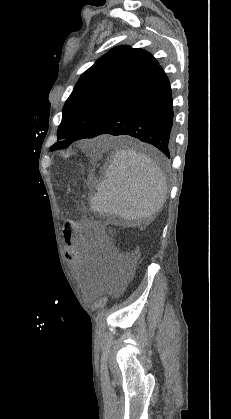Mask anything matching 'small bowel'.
<instances>
[{"mask_svg":"<svg viewBox=\"0 0 231 419\" xmlns=\"http://www.w3.org/2000/svg\"><path fill=\"white\" fill-rule=\"evenodd\" d=\"M65 255L73 267L83 265L90 256V243L80 223L69 221L64 229Z\"/></svg>","mask_w":231,"mask_h":419,"instance_id":"obj_1","label":"small bowel"}]
</instances>
